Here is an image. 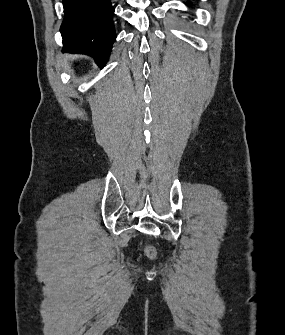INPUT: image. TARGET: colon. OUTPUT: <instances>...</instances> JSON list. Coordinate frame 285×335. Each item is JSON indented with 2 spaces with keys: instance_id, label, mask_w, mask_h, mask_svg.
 I'll list each match as a JSON object with an SVG mask.
<instances>
[{
  "instance_id": "obj_1",
  "label": "colon",
  "mask_w": 285,
  "mask_h": 335,
  "mask_svg": "<svg viewBox=\"0 0 285 335\" xmlns=\"http://www.w3.org/2000/svg\"><path fill=\"white\" fill-rule=\"evenodd\" d=\"M145 254L149 257V258H154L156 256V250L153 246L148 245L145 247Z\"/></svg>"
}]
</instances>
